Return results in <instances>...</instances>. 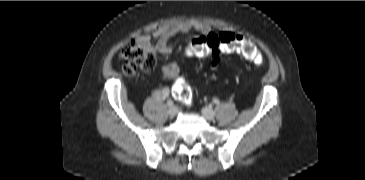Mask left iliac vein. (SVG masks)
Listing matches in <instances>:
<instances>
[{
    "label": "left iliac vein",
    "mask_w": 365,
    "mask_h": 180,
    "mask_svg": "<svg viewBox=\"0 0 365 180\" xmlns=\"http://www.w3.org/2000/svg\"><path fill=\"white\" fill-rule=\"evenodd\" d=\"M202 115L207 120H213L215 118V112L210 107H205L202 109Z\"/></svg>",
    "instance_id": "1"
}]
</instances>
